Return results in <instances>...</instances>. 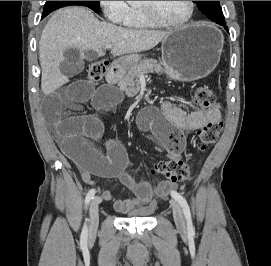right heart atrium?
<instances>
[{
  "label": "right heart atrium",
  "mask_w": 271,
  "mask_h": 266,
  "mask_svg": "<svg viewBox=\"0 0 271 266\" xmlns=\"http://www.w3.org/2000/svg\"><path fill=\"white\" fill-rule=\"evenodd\" d=\"M106 19L113 24H124L129 6L126 1H99Z\"/></svg>",
  "instance_id": "1"
}]
</instances>
